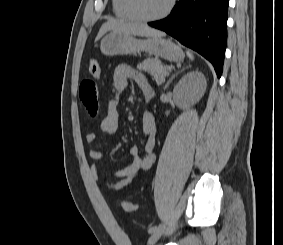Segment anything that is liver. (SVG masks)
<instances>
[{
    "label": "liver",
    "mask_w": 283,
    "mask_h": 245,
    "mask_svg": "<svg viewBox=\"0 0 283 245\" xmlns=\"http://www.w3.org/2000/svg\"><path fill=\"white\" fill-rule=\"evenodd\" d=\"M108 31L146 37H161L164 35L162 32L144 24L111 19L101 26L95 41H98Z\"/></svg>",
    "instance_id": "1"
}]
</instances>
